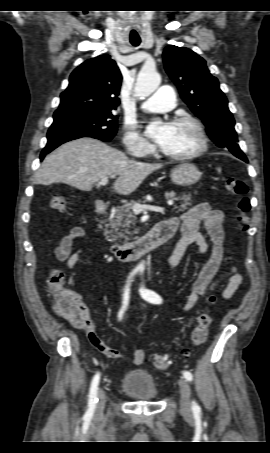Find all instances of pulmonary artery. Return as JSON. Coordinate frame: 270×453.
Returning a JSON list of instances; mask_svg holds the SVG:
<instances>
[{"label":"pulmonary artery","mask_w":270,"mask_h":453,"mask_svg":"<svg viewBox=\"0 0 270 453\" xmlns=\"http://www.w3.org/2000/svg\"><path fill=\"white\" fill-rule=\"evenodd\" d=\"M176 96L172 87L163 86L141 103V108L148 112L165 113L175 106Z\"/></svg>","instance_id":"obj_1"}]
</instances>
